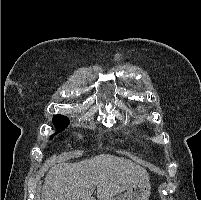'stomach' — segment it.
Returning <instances> with one entry per match:
<instances>
[{
    "label": "stomach",
    "instance_id": "0dacf381",
    "mask_svg": "<svg viewBox=\"0 0 201 200\" xmlns=\"http://www.w3.org/2000/svg\"><path fill=\"white\" fill-rule=\"evenodd\" d=\"M150 193L149 181L139 180L129 186L125 193L112 197L110 200H149Z\"/></svg>",
    "mask_w": 201,
    "mask_h": 200
}]
</instances>
